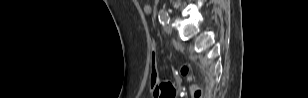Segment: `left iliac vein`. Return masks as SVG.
I'll return each mask as SVG.
<instances>
[{"mask_svg": "<svg viewBox=\"0 0 308 98\" xmlns=\"http://www.w3.org/2000/svg\"><path fill=\"white\" fill-rule=\"evenodd\" d=\"M164 31H165L166 33L170 34V33L172 32L171 26H170L169 24H166V25L164 26Z\"/></svg>", "mask_w": 308, "mask_h": 98, "instance_id": "4c4485c4", "label": "left iliac vein"}]
</instances>
